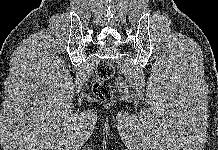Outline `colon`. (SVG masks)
Segmentation results:
<instances>
[{"mask_svg": "<svg viewBox=\"0 0 218 150\" xmlns=\"http://www.w3.org/2000/svg\"><path fill=\"white\" fill-rule=\"evenodd\" d=\"M113 74L114 68L111 63L103 61L97 66L93 82V92L96 97L102 100H109L112 97V88L109 80Z\"/></svg>", "mask_w": 218, "mask_h": 150, "instance_id": "5ec220e1", "label": "colon"}]
</instances>
